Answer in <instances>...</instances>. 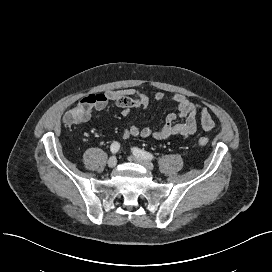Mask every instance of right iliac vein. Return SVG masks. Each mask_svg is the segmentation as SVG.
Wrapping results in <instances>:
<instances>
[{
    "label": "right iliac vein",
    "instance_id": "right-iliac-vein-1",
    "mask_svg": "<svg viewBox=\"0 0 272 272\" xmlns=\"http://www.w3.org/2000/svg\"><path fill=\"white\" fill-rule=\"evenodd\" d=\"M107 164H108V167L114 168L116 166V164H117L116 157L115 156L110 157Z\"/></svg>",
    "mask_w": 272,
    "mask_h": 272
}]
</instances>
